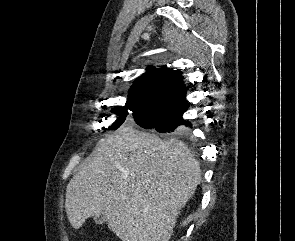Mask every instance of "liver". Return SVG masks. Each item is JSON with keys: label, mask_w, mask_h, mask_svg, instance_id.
Instances as JSON below:
<instances>
[{"label": "liver", "mask_w": 295, "mask_h": 241, "mask_svg": "<svg viewBox=\"0 0 295 241\" xmlns=\"http://www.w3.org/2000/svg\"><path fill=\"white\" fill-rule=\"evenodd\" d=\"M200 181L184 143L124 127L101 140L70 180L65 209L75 229L103 215L122 241H169Z\"/></svg>", "instance_id": "6515ba94"}]
</instances>
